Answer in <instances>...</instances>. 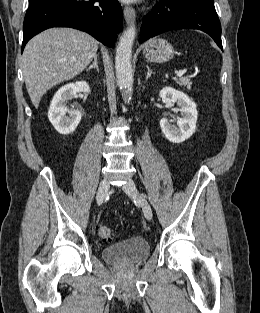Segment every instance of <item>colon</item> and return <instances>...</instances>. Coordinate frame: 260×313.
<instances>
[{"label":"colon","instance_id":"colon-1","mask_svg":"<svg viewBox=\"0 0 260 313\" xmlns=\"http://www.w3.org/2000/svg\"><path fill=\"white\" fill-rule=\"evenodd\" d=\"M97 231H98V235L103 240L110 241V240H112L114 238L113 231L111 230L110 227H108L106 225H99L97 227Z\"/></svg>","mask_w":260,"mask_h":313}]
</instances>
